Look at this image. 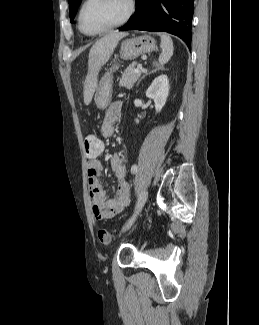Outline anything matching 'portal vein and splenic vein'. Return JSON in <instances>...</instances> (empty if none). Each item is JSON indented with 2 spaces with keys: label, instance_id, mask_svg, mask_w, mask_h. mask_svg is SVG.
I'll return each instance as SVG.
<instances>
[{
  "label": "portal vein and splenic vein",
  "instance_id": "1",
  "mask_svg": "<svg viewBox=\"0 0 259 325\" xmlns=\"http://www.w3.org/2000/svg\"><path fill=\"white\" fill-rule=\"evenodd\" d=\"M135 73H140L141 72V67H137L135 70H134Z\"/></svg>",
  "mask_w": 259,
  "mask_h": 325
}]
</instances>
